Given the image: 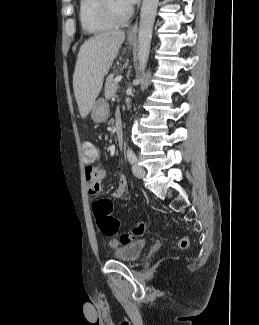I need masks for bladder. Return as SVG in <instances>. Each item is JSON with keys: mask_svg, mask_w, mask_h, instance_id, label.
Wrapping results in <instances>:
<instances>
[{"mask_svg": "<svg viewBox=\"0 0 259 325\" xmlns=\"http://www.w3.org/2000/svg\"><path fill=\"white\" fill-rule=\"evenodd\" d=\"M145 240H137L117 248L113 252V257L123 262H134L138 260L146 248Z\"/></svg>", "mask_w": 259, "mask_h": 325, "instance_id": "31cf9c89", "label": "bladder"}]
</instances>
